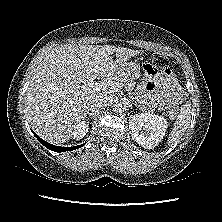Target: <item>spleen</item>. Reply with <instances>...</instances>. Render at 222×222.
<instances>
[{"label": "spleen", "mask_w": 222, "mask_h": 222, "mask_svg": "<svg viewBox=\"0 0 222 222\" xmlns=\"http://www.w3.org/2000/svg\"><path fill=\"white\" fill-rule=\"evenodd\" d=\"M190 120H191V104L187 103L182 107L179 115L177 116V120L174 123V127L169 134L168 138L169 146H173L174 144L180 142V139L182 138L183 134L189 127Z\"/></svg>", "instance_id": "1"}]
</instances>
